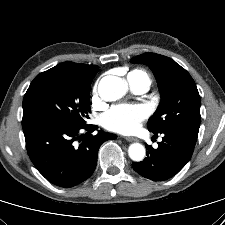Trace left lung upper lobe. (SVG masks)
<instances>
[{
	"mask_svg": "<svg viewBox=\"0 0 225 225\" xmlns=\"http://www.w3.org/2000/svg\"><path fill=\"white\" fill-rule=\"evenodd\" d=\"M131 62L148 65L161 92V102L147 123L149 131L175 129L198 135L201 101L190 74L174 60L155 53H144Z\"/></svg>",
	"mask_w": 225,
	"mask_h": 225,
	"instance_id": "5c2ea615",
	"label": "left lung upper lobe"
}]
</instances>
